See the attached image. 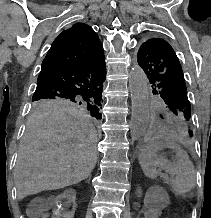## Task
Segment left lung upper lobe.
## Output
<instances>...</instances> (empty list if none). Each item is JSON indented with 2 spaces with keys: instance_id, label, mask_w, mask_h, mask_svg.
<instances>
[{
  "instance_id": "obj_1",
  "label": "left lung upper lobe",
  "mask_w": 211,
  "mask_h": 218,
  "mask_svg": "<svg viewBox=\"0 0 211 218\" xmlns=\"http://www.w3.org/2000/svg\"><path fill=\"white\" fill-rule=\"evenodd\" d=\"M137 61L152 84V93L159 98L155 114L175 134L190 141L193 137L191 106L174 50L165 40L152 38L141 45Z\"/></svg>"
}]
</instances>
